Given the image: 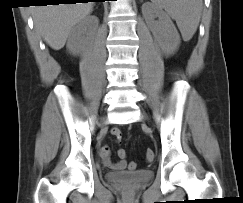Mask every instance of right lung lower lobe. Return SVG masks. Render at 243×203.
I'll use <instances>...</instances> for the list:
<instances>
[{"label":"right lung lower lobe","instance_id":"98d812e1","mask_svg":"<svg viewBox=\"0 0 243 203\" xmlns=\"http://www.w3.org/2000/svg\"><path fill=\"white\" fill-rule=\"evenodd\" d=\"M44 1H47V0H40V2H38L37 5L41 6V4L42 5L45 4L46 2H44ZM60 1L61 2H57V3H68V4H70V3H77V1H89V0H60ZM91 1L99 2V1H105V0H91ZM50 3H54V2H50ZM57 3L55 2L54 4H57Z\"/></svg>","mask_w":243,"mask_h":203}]
</instances>
